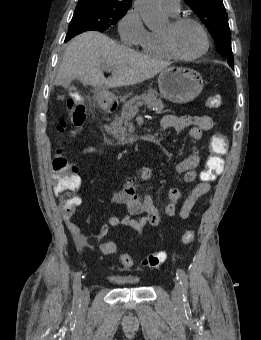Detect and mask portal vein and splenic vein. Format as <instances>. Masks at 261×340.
Instances as JSON below:
<instances>
[{"label": "portal vein and splenic vein", "instance_id": "obj_1", "mask_svg": "<svg viewBox=\"0 0 261 340\" xmlns=\"http://www.w3.org/2000/svg\"><path fill=\"white\" fill-rule=\"evenodd\" d=\"M107 72H110V71H112V68H106L105 69Z\"/></svg>", "mask_w": 261, "mask_h": 340}]
</instances>
